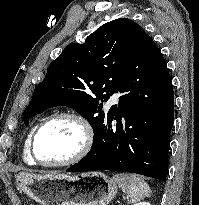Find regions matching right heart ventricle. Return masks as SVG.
Wrapping results in <instances>:
<instances>
[{
	"instance_id": "e07e8e85",
	"label": "right heart ventricle",
	"mask_w": 199,
	"mask_h": 205,
	"mask_svg": "<svg viewBox=\"0 0 199 205\" xmlns=\"http://www.w3.org/2000/svg\"><path fill=\"white\" fill-rule=\"evenodd\" d=\"M38 124L35 125L33 128H31V130L29 131L26 139H25V142H24V145H23V148H22V157H23V160L29 164V165H33L34 162L33 160L31 159L30 157V154H29V140H30V137L32 135V133L34 132V130L37 128Z\"/></svg>"
}]
</instances>
